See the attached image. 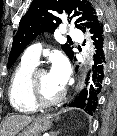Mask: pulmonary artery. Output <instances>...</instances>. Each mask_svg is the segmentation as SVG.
I'll use <instances>...</instances> for the list:
<instances>
[{"label": "pulmonary artery", "instance_id": "e3ab8cb5", "mask_svg": "<svg viewBox=\"0 0 117 136\" xmlns=\"http://www.w3.org/2000/svg\"><path fill=\"white\" fill-rule=\"evenodd\" d=\"M66 35L78 41L81 40L82 38L81 33L73 28H70L67 31ZM40 54H41V45L39 44L33 45L25 51V53L23 54V60L37 64L39 61Z\"/></svg>", "mask_w": 117, "mask_h": 136}]
</instances>
